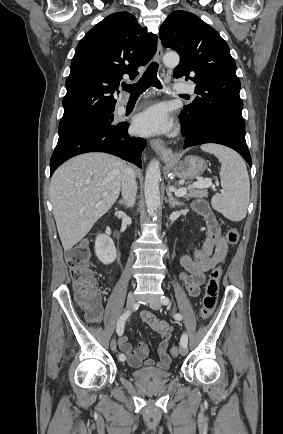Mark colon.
<instances>
[{
	"label": "colon",
	"instance_id": "5ec220e1",
	"mask_svg": "<svg viewBox=\"0 0 283 434\" xmlns=\"http://www.w3.org/2000/svg\"><path fill=\"white\" fill-rule=\"evenodd\" d=\"M239 240V231L235 227L228 229L226 241L234 245ZM66 262L69 266L73 286L77 292V301L85 310L90 321H97L101 315L99 294L96 288L93 271L90 267V253L87 242H80L66 252ZM222 274L221 267L212 270L205 286L200 314L207 320L213 314L219 296V283ZM180 350L177 346L170 348L172 357H176Z\"/></svg>",
	"mask_w": 283,
	"mask_h": 434
}]
</instances>
